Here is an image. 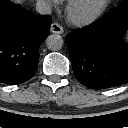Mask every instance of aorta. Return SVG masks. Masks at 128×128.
Instances as JSON below:
<instances>
[{
    "label": "aorta",
    "mask_w": 128,
    "mask_h": 128,
    "mask_svg": "<svg viewBox=\"0 0 128 128\" xmlns=\"http://www.w3.org/2000/svg\"><path fill=\"white\" fill-rule=\"evenodd\" d=\"M63 38L58 34H51L46 39L47 48L51 51H58L63 46Z\"/></svg>",
    "instance_id": "obj_1"
}]
</instances>
